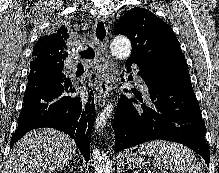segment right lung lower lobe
I'll use <instances>...</instances> for the list:
<instances>
[{
  "instance_id": "right-lung-lower-lobe-1",
  "label": "right lung lower lobe",
  "mask_w": 219,
  "mask_h": 173,
  "mask_svg": "<svg viewBox=\"0 0 219 173\" xmlns=\"http://www.w3.org/2000/svg\"><path fill=\"white\" fill-rule=\"evenodd\" d=\"M23 102L10 147L28 131L50 127L72 137L85 160L89 161L92 125L96 116L91 93L86 101L81 100L63 70L47 66L30 71Z\"/></svg>"
}]
</instances>
